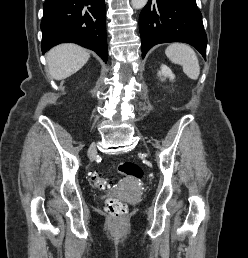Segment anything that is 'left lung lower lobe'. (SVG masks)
<instances>
[{
	"instance_id": "left-lung-lower-lobe-1",
	"label": "left lung lower lobe",
	"mask_w": 248,
	"mask_h": 258,
	"mask_svg": "<svg viewBox=\"0 0 248 258\" xmlns=\"http://www.w3.org/2000/svg\"><path fill=\"white\" fill-rule=\"evenodd\" d=\"M142 58L156 44L184 42L206 59L207 36L196 0H149L139 17Z\"/></svg>"
}]
</instances>
